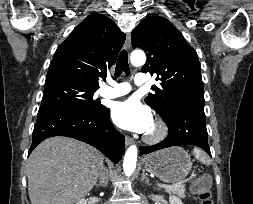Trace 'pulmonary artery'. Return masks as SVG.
<instances>
[{
  "label": "pulmonary artery",
  "mask_w": 253,
  "mask_h": 204,
  "mask_svg": "<svg viewBox=\"0 0 253 204\" xmlns=\"http://www.w3.org/2000/svg\"><path fill=\"white\" fill-rule=\"evenodd\" d=\"M148 82L147 76L144 73H137L134 77V83L137 86H144ZM131 91V85L128 82L113 83L108 82V85L103 86L99 90V95L104 98H117L128 94Z\"/></svg>",
  "instance_id": "1"
}]
</instances>
